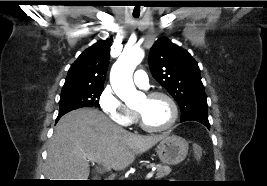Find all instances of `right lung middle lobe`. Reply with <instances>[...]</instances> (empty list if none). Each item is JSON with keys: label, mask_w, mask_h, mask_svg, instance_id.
Segmentation results:
<instances>
[{"label": "right lung middle lobe", "mask_w": 267, "mask_h": 186, "mask_svg": "<svg viewBox=\"0 0 267 186\" xmlns=\"http://www.w3.org/2000/svg\"><path fill=\"white\" fill-rule=\"evenodd\" d=\"M103 87H64L60 97L59 114L82 107H98Z\"/></svg>", "instance_id": "dd1d6c3e"}]
</instances>
